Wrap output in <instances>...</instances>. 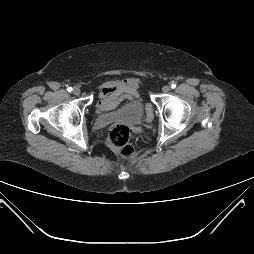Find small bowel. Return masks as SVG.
<instances>
[{
    "label": "small bowel",
    "mask_w": 254,
    "mask_h": 254,
    "mask_svg": "<svg viewBox=\"0 0 254 254\" xmlns=\"http://www.w3.org/2000/svg\"><path fill=\"white\" fill-rule=\"evenodd\" d=\"M142 82L133 77L123 80H109L98 88L96 112L115 109L123 99L137 100Z\"/></svg>",
    "instance_id": "obj_1"
}]
</instances>
